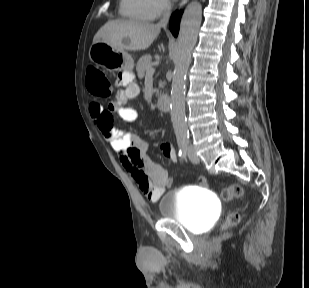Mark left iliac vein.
I'll use <instances>...</instances> for the list:
<instances>
[{
	"label": "left iliac vein",
	"instance_id": "obj_1",
	"mask_svg": "<svg viewBox=\"0 0 309 288\" xmlns=\"http://www.w3.org/2000/svg\"><path fill=\"white\" fill-rule=\"evenodd\" d=\"M188 157H189L190 161L193 162V163L199 162V157L196 155V153H195V151L192 147H189Z\"/></svg>",
	"mask_w": 309,
	"mask_h": 288
}]
</instances>
